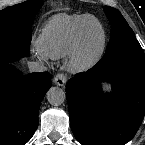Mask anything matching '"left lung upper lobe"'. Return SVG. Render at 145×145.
Listing matches in <instances>:
<instances>
[{
	"mask_svg": "<svg viewBox=\"0 0 145 145\" xmlns=\"http://www.w3.org/2000/svg\"><path fill=\"white\" fill-rule=\"evenodd\" d=\"M103 9L111 24V38L103 62L108 65L145 64L143 49L122 14L112 7L104 6Z\"/></svg>",
	"mask_w": 145,
	"mask_h": 145,
	"instance_id": "1",
	"label": "left lung upper lobe"
}]
</instances>
